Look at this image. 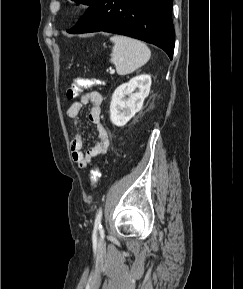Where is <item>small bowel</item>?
Wrapping results in <instances>:
<instances>
[{
  "instance_id": "obj_1",
  "label": "small bowel",
  "mask_w": 243,
  "mask_h": 289,
  "mask_svg": "<svg viewBox=\"0 0 243 289\" xmlns=\"http://www.w3.org/2000/svg\"><path fill=\"white\" fill-rule=\"evenodd\" d=\"M102 101L103 97L99 92L91 91L83 94L80 100L73 102L67 110L68 117L77 125L80 120L82 107L91 104L88 118L97 129L96 142L86 151L83 150V140L81 136H75L70 142L73 161L81 169L88 167L92 163L93 158L105 154L109 147V133L101 121Z\"/></svg>"
}]
</instances>
